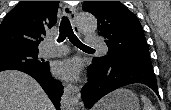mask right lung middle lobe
<instances>
[{"instance_id":"obj_1","label":"right lung middle lobe","mask_w":171,"mask_h":110,"mask_svg":"<svg viewBox=\"0 0 171 110\" xmlns=\"http://www.w3.org/2000/svg\"><path fill=\"white\" fill-rule=\"evenodd\" d=\"M38 59V49L22 46H0V71L25 67L43 68L47 63Z\"/></svg>"}]
</instances>
